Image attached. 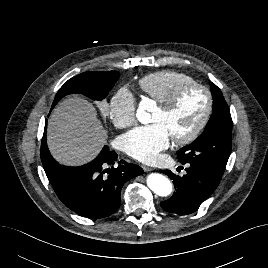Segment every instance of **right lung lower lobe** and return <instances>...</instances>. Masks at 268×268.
<instances>
[{
  "instance_id": "obj_1",
  "label": "right lung lower lobe",
  "mask_w": 268,
  "mask_h": 268,
  "mask_svg": "<svg viewBox=\"0 0 268 268\" xmlns=\"http://www.w3.org/2000/svg\"><path fill=\"white\" fill-rule=\"evenodd\" d=\"M43 140L46 142V125ZM117 154L105 146L90 163L79 167L56 165L54 188L69 209L87 218H103L120 206V192L128 180L143 173L138 165L123 160L113 167ZM112 166L111 168H108Z\"/></svg>"
}]
</instances>
